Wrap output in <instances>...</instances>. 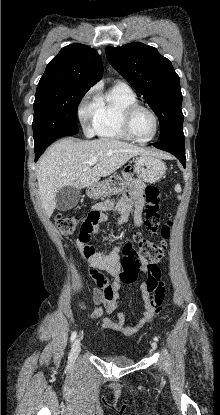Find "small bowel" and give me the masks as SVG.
<instances>
[{"label":"small bowel","instance_id":"1","mask_svg":"<svg viewBox=\"0 0 220 415\" xmlns=\"http://www.w3.org/2000/svg\"><path fill=\"white\" fill-rule=\"evenodd\" d=\"M143 191L144 185L140 181H135L132 184V188L124 193L118 203L102 202L94 205L87 216L80 218L81 224L86 223L87 232L79 229L76 238V245L88 262L89 276L97 284V287L90 291V296L95 303L103 305L93 309L90 317L92 319H100L104 329L122 332L127 337L136 335L163 308L154 307L149 300L145 284H143L140 293V298L143 302V312L140 319L135 324L129 326L125 324V315L123 313H117L112 317L117 309L119 290L122 285L119 277L121 271L119 247L114 246L108 251H101L90 245L89 242L91 234L98 233L100 224L107 221L108 213L119 215L118 226L126 223L129 217L132 216L136 226L140 228L142 225V209L144 207ZM91 215H95V219L89 220ZM141 264L142 272L147 273L148 262L142 259ZM105 274L112 276L113 280L109 282ZM79 305L81 309L87 307L84 302H80ZM104 314L107 316L104 317Z\"/></svg>","mask_w":220,"mask_h":415}]
</instances>
